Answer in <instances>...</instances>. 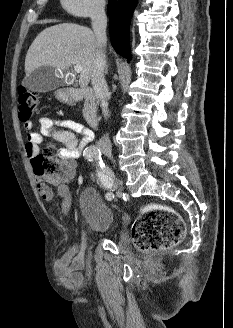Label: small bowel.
<instances>
[{
	"label": "small bowel",
	"mask_w": 233,
	"mask_h": 328,
	"mask_svg": "<svg viewBox=\"0 0 233 328\" xmlns=\"http://www.w3.org/2000/svg\"><path fill=\"white\" fill-rule=\"evenodd\" d=\"M24 128L27 133V141L25 144V152L29 158H33L39 151V145L44 138H52L62 144L58 151L59 157L63 160L67 177L72 176L74 171V160L78 159L90 147L89 144L93 140V132L80 122L71 119L53 120L44 117L40 121V130L34 131L31 122H25ZM77 136H80L78 138ZM51 178H37V187L40 196L45 201L54 199L53 190L47 185ZM57 186L58 195L63 198L62 211L67 214L72 204L70 190L66 183L52 181ZM58 270L62 278V285L68 290L80 289L84 285L83 274L75 269L72 257L66 253L56 261Z\"/></svg>",
	"instance_id": "small-bowel-1"
}]
</instances>
